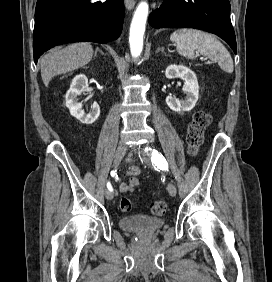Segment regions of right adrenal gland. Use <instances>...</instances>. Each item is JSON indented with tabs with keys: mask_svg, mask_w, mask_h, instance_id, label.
<instances>
[{
	"mask_svg": "<svg viewBox=\"0 0 272 282\" xmlns=\"http://www.w3.org/2000/svg\"><path fill=\"white\" fill-rule=\"evenodd\" d=\"M97 52H100L102 55H105L99 48H97L95 51V56L97 55Z\"/></svg>",
	"mask_w": 272,
	"mask_h": 282,
	"instance_id": "right-adrenal-gland-1",
	"label": "right adrenal gland"
}]
</instances>
